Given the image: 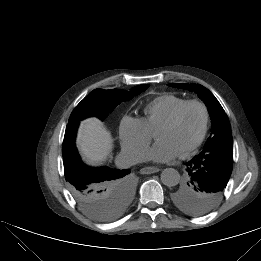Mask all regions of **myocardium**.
Instances as JSON below:
<instances>
[{"label":"myocardium","mask_w":261,"mask_h":261,"mask_svg":"<svg viewBox=\"0 0 261 261\" xmlns=\"http://www.w3.org/2000/svg\"><path fill=\"white\" fill-rule=\"evenodd\" d=\"M190 105H198L202 109L203 124H202L200 134L198 135L196 140L190 146H188L183 152L179 154L180 157L182 158L187 157L189 154H191L196 149H198L206 137L208 131L209 119H210V114L207 105L202 100L199 99L187 100L184 103H182L179 107H177L176 110L171 114V116L159 127L160 129V128L171 127L175 125L179 120L180 116L182 115V113L184 112V110Z\"/></svg>","instance_id":"myocardium-1"}]
</instances>
